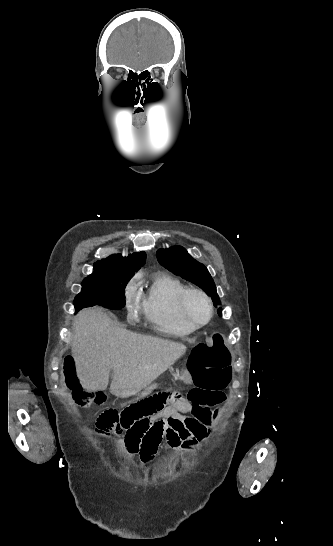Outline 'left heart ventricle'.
Returning a JSON list of instances; mask_svg holds the SVG:
<instances>
[{
    "label": "left heart ventricle",
    "mask_w": 333,
    "mask_h": 546,
    "mask_svg": "<svg viewBox=\"0 0 333 546\" xmlns=\"http://www.w3.org/2000/svg\"><path fill=\"white\" fill-rule=\"evenodd\" d=\"M190 313L196 321L202 322L208 317V306L202 299L194 297L190 303Z\"/></svg>",
    "instance_id": "obj_1"
}]
</instances>
